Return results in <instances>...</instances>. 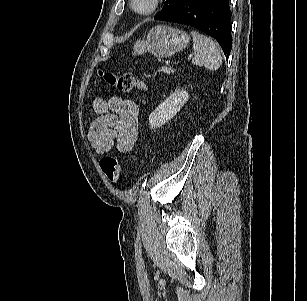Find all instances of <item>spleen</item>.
Wrapping results in <instances>:
<instances>
[{"instance_id":"spleen-1","label":"spleen","mask_w":307,"mask_h":301,"mask_svg":"<svg viewBox=\"0 0 307 301\" xmlns=\"http://www.w3.org/2000/svg\"><path fill=\"white\" fill-rule=\"evenodd\" d=\"M194 58L192 64L213 71L222 64L221 51L217 43L199 32L192 31Z\"/></svg>"}]
</instances>
